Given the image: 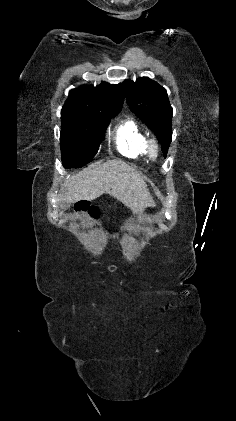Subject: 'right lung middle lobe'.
<instances>
[{"mask_svg":"<svg viewBox=\"0 0 236 421\" xmlns=\"http://www.w3.org/2000/svg\"><path fill=\"white\" fill-rule=\"evenodd\" d=\"M121 109L66 106L61 111V156L65 168L81 167L93 160L105 138L110 118Z\"/></svg>","mask_w":236,"mask_h":421,"instance_id":"dd1d6c3e","label":"right lung middle lobe"}]
</instances>
